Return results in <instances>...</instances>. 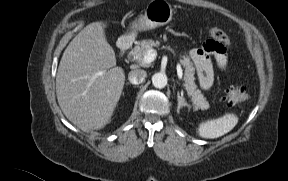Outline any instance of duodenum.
I'll return each mask as SVG.
<instances>
[{"label":"duodenum","instance_id":"obj_1","mask_svg":"<svg viewBox=\"0 0 288 181\" xmlns=\"http://www.w3.org/2000/svg\"><path fill=\"white\" fill-rule=\"evenodd\" d=\"M118 44L123 53L129 52L132 49L133 40L130 37H122Z\"/></svg>","mask_w":288,"mask_h":181}]
</instances>
